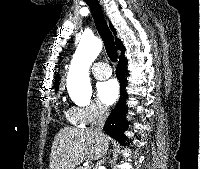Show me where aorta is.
Listing matches in <instances>:
<instances>
[{"label":"aorta","mask_w":200,"mask_h":169,"mask_svg":"<svg viewBox=\"0 0 200 169\" xmlns=\"http://www.w3.org/2000/svg\"><path fill=\"white\" fill-rule=\"evenodd\" d=\"M102 49V42L90 34H84L73 55L68 76L67 88L76 102H88L92 96L89 68Z\"/></svg>","instance_id":"1"}]
</instances>
